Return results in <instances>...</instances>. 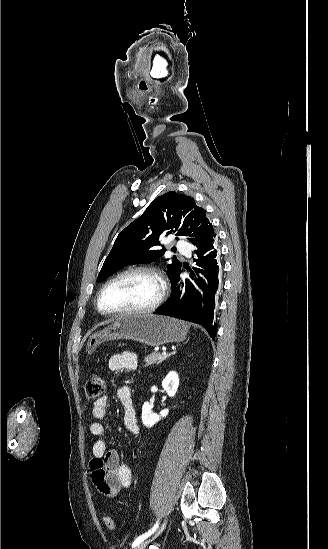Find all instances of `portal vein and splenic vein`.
<instances>
[{
  "label": "portal vein and splenic vein",
  "instance_id": "portal-vein-and-splenic-vein-1",
  "mask_svg": "<svg viewBox=\"0 0 328 549\" xmlns=\"http://www.w3.org/2000/svg\"><path fill=\"white\" fill-rule=\"evenodd\" d=\"M162 355H163V357H166V350H163Z\"/></svg>",
  "mask_w": 328,
  "mask_h": 549
}]
</instances>
